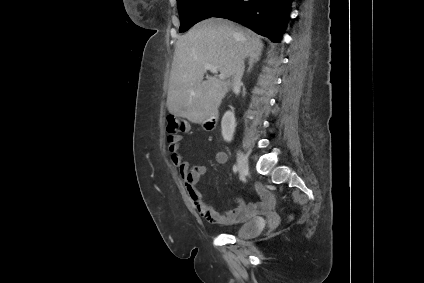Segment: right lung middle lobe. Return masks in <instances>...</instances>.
Segmentation results:
<instances>
[{
  "instance_id": "right-lung-middle-lobe-1",
  "label": "right lung middle lobe",
  "mask_w": 424,
  "mask_h": 283,
  "mask_svg": "<svg viewBox=\"0 0 424 283\" xmlns=\"http://www.w3.org/2000/svg\"><path fill=\"white\" fill-rule=\"evenodd\" d=\"M180 16L179 31L185 32L201 20L226 9L232 0H177Z\"/></svg>"
}]
</instances>
